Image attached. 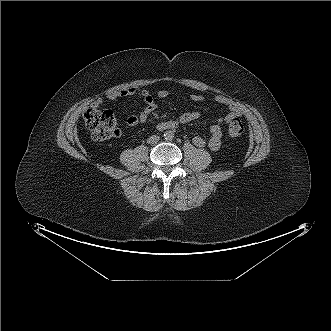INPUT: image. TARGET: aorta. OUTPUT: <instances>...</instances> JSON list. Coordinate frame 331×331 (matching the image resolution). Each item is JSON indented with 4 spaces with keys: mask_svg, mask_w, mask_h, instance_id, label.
<instances>
[{
    "mask_svg": "<svg viewBox=\"0 0 331 331\" xmlns=\"http://www.w3.org/2000/svg\"><path fill=\"white\" fill-rule=\"evenodd\" d=\"M164 138L166 140H172L174 138V133L171 130L165 131L164 132Z\"/></svg>",
    "mask_w": 331,
    "mask_h": 331,
    "instance_id": "obj_1",
    "label": "aorta"
}]
</instances>
